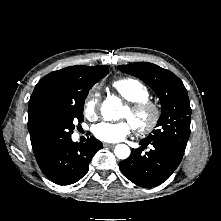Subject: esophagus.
<instances>
[{"label":"esophagus","mask_w":221,"mask_h":221,"mask_svg":"<svg viewBox=\"0 0 221 221\" xmlns=\"http://www.w3.org/2000/svg\"><path fill=\"white\" fill-rule=\"evenodd\" d=\"M115 144H111V143H103V147L108 148V147H114Z\"/></svg>","instance_id":"esophagus-1"}]
</instances>
